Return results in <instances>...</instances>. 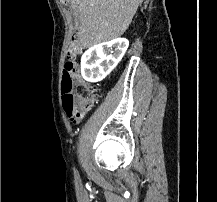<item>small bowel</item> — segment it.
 <instances>
[{
  "label": "small bowel",
  "mask_w": 217,
  "mask_h": 202,
  "mask_svg": "<svg viewBox=\"0 0 217 202\" xmlns=\"http://www.w3.org/2000/svg\"><path fill=\"white\" fill-rule=\"evenodd\" d=\"M80 120H83V117H80Z\"/></svg>",
  "instance_id": "obj_1"
}]
</instances>
